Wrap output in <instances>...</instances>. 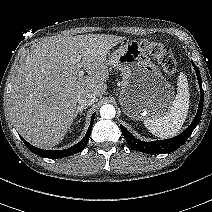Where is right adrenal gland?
<instances>
[{"mask_svg":"<svg viewBox=\"0 0 212 212\" xmlns=\"http://www.w3.org/2000/svg\"><path fill=\"white\" fill-rule=\"evenodd\" d=\"M84 109H86L85 106H78L74 118H76L78 113H79V115H80L79 121H80L81 120V116L83 115V110Z\"/></svg>","mask_w":212,"mask_h":212,"instance_id":"2a0ac1e0","label":"right adrenal gland"}]
</instances>
